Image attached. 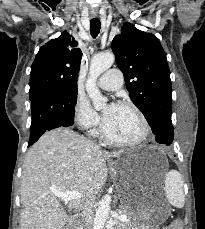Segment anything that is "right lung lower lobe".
I'll use <instances>...</instances> for the list:
<instances>
[{"mask_svg":"<svg viewBox=\"0 0 205 229\" xmlns=\"http://www.w3.org/2000/svg\"><path fill=\"white\" fill-rule=\"evenodd\" d=\"M76 100L62 90L46 92L31 99L32 122L28 146L47 130L72 125Z\"/></svg>","mask_w":205,"mask_h":229,"instance_id":"obj_1","label":"right lung lower lobe"}]
</instances>
